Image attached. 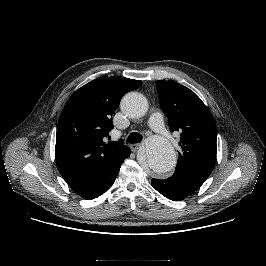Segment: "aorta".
<instances>
[{"mask_svg":"<svg viewBox=\"0 0 266 266\" xmlns=\"http://www.w3.org/2000/svg\"><path fill=\"white\" fill-rule=\"evenodd\" d=\"M122 111L131 118L145 115L148 109L146 98L137 92L126 94L121 101ZM139 163L144 168L162 175L170 172L176 165V154L169 141L160 136L148 139L145 148L138 156Z\"/></svg>","mask_w":266,"mask_h":266,"instance_id":"1","label":"aorta"}]
</instances>
